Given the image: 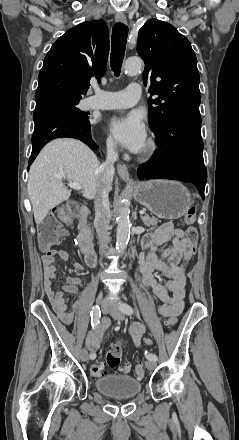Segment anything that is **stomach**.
<instances>
[{"label": "stomach", "mask_w": 239, "mask_h": 440, "mask_svg": "<svg viewBox=\"0 0 239 440\" xmlns=\"http://www.w3.org/2000/svg\"><path fill=\"white\" fill-rule=\"evenodd\" d=\"M136 202L164 220L182 218L192 206L191 194L180 182L149 180L130 188Z\"/></svg>", "instance_id": "obj_1"}]
</instances>
